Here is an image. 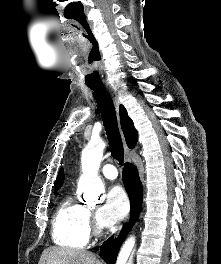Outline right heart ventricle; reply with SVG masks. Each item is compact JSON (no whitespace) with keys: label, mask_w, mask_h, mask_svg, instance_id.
Listing matches in <instances>:
<instances>
[{"label":"right heart ventricle","mask_w":221,"mask_h":264,"mask_svg":"<svg viewBox=\"0 0 221 264\" xmlns=\"http://www.w3.org/2000/svg\"><path fill=\"white\" fill-rule=\"evenodd\" d=\"M52 239L55 244L68 248H83L89 242V212L71 195L62 200L55 213Z\"/></svg>","instance_id":"e07e8e85"}]
</instances>
